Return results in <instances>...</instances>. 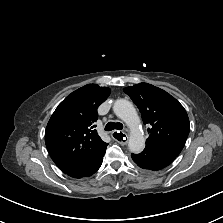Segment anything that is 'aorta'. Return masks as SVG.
Segmentation results:
<instances>
[{
	"label": "aorta",
	"mask_w": 223,
	"mask_h": 223,
	"mask_svg": "<svg viewBox=\"0 0 223 223\" xmlns=\"http://www.w3.org/2000/svg\"><path fill=\"white\" fill-rule=\"evenodd\" d=\"M113 111L130 128L129 150L135 154L141 153L145 147V138L139 129L140 118L133 104L128 100L118 99L113 105Z\"/></svg>",
	"instance_id": "aorta-1"
}]
</instances>
